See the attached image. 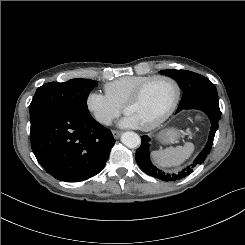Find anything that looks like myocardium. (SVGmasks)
Returning a JSON list of instances; mask_svg holds the SVG:
<instances>
[{
  "mask_svg": "<svg viewBox=\"0 0 245 245\" xmlns=\"http://www.w3.org/2000/svg\"><path fill=\"white\" fill-rule=\"evenodd\" d=\"M158 80L169 81L174 85L175 90H176L175 98H174V101L170 109L160 119H158L157 121L149 125L141 126V129L144 131H151L163 125L174 114V112L176 111L179 105L180 99H181L182 89H181L179 82L175 78L166 76V75L152 76L149 79L142 82L129 96V98L126 100V102L123 105L124 112H126L129 106L135 104L141 98L143 91L150 83L154 81H158Z\"/></svg>",
  "mask_w": 245,
  "mask_h": 245,
  "instance_id": "obj_1",
  "label": "myocardium"
}]
</instances>
